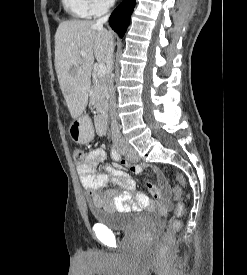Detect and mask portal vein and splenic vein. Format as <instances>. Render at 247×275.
I'll return each instance as SVG.
<instances>
[{"instance_id": "portal-vein-and-splenic-vein-1", "label": "portal vein and splenic vein", "mask_w": 247, "mask_h": 275, "mask_svg": "<svg viewBox=\"0 0 247 275\" xmlns=\"http://www.w3.org/2000/svg\"><path fill=\"white\" fill-rule=\"evenodd\" d=\"M81 55L84 57L85 53L82 52ZM106 71H107V69H106L105 64H99L97 67V76L103 77L106 74Z\"/></svg>"}]
</instances>
